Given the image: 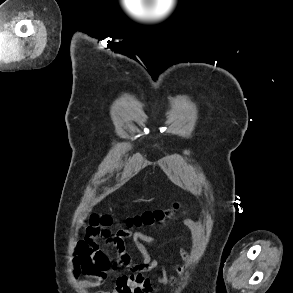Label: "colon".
<instances>
[{"label": "colon", "instance_id": "obj_1", "mask_svg": "<svg viewBox=\"0 0 293 293\" xmlns=\"http://www.w3.org/2000/svg\"><path fill=\"white\" fill-rule=\"evenodd\" d=\"M180 210L178 203L165 209H148L140 213L128 216L123 224L128 228L133 227H159L172 220ZM86 224L91 233L104 236L110 232L111 228L118 222L108 214L92 213L86 219Z\"/></svg>", "mask_w": 293, "mask_h": 293}]
</instances>
